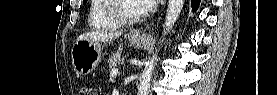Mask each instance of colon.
<instances>
[{
    "mask_svg": "<svg viewBox=\"0 0 277 95\" xmlns=\"http://www.w3.org/2000/svg\"><path fill=\"white\" fill-rule=\"evenodd\" d=\"M80 95H97V90L92 86H85L81 89Z\"/></svg>",
    "mask_w": 277,
    "mask_h": 95,
    "instance_id": "colon-1",
    "label": "colon"
}]
</instances>
